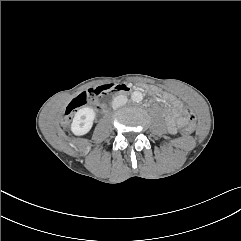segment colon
Segmentation results:
<instances>
[{
  "instance_id": "colon-1",
  "label": "colon",
  "mask_w": 241,
  "mask_h": 241,
  "mask_svg": "<svg viewBox=\"0 0 241 241\" xmlns=\"http://www.w3.org/2000/svg\"><path fill=\"white\" fill-rule=\"evenodd\" d=\"M111 90L109 85H102L94 88H90L87 91L82 92L76 98H74L69 105L66 107L63 122L66 123L71 119V115L81 106L89 103L92 100L97 99L100 95ZM185 119L187 120V127L182 129V134L184 136H189L192 132L196 131V118L191 109H186L184 112Z\"/></svg>"
}]
</instances>
